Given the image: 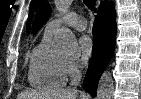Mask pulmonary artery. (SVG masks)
Returning <instances> with one entry per match:
<instances>
[{
    "mask_svg": "<svg viewBox=\"0 0 141 99\" xmlns=\"http://www.w3.org/2000/svg\"><path fill=\"white\" fill-rule=\"evenodd\" d=\"M62 25L70 26L76 30L82 31L87 27L86 19L74 12H70L61 18L51 20L47 25L45 31L48 33H55Z\"/></svg>",
    "mask_w": 141,
    "mask_h": 99,
    "instance_id": "pulmonary-artery-1",
    "label": "pulmonary artery"
}]
</instances>
